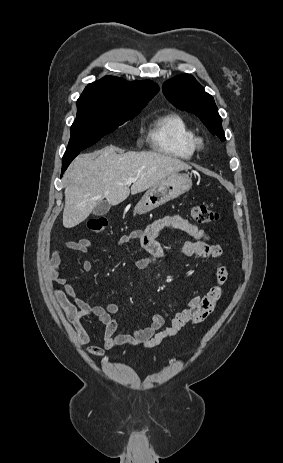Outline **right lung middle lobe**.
Here are the masks:
<instances>
[{
    "instance_id": "dd1d6c3e",
    "label": "right lung middle lobe",
    "mask_w": 283,
    "mask_h": 463,
    "mask_svg": "<svg viewBox=\"0 0 283 463\" xmlns=\"http://www.w3.org/2000/svg\"><path fill=\"white\" fill-rule=\"evenodd\" d=\"M146 104H129L79 98L77 118L71 126V137L64 155H70L93 145L127 120L133 119Z\"/></svg>"
}]
</instances>
